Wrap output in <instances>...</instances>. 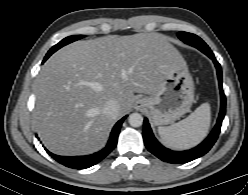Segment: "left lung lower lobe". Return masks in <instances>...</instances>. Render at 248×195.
<instances>
[{"label": "left lung lower lobe", "mask_w": 248, "mask_h": 195, "mask_svg": "<svg viewBox=\"0 0 248 195\" xmlns=\"http://www.w3.org/2000/svg\"><path fill=\"white\" fill-rule=\"evenodd\" d=\"M199 50L213 60L217 69L220 96H221L220 114L214 129L208 135V137L195 148L186 151H173L161 145L154 137L150 125L148 123V120L145 118L143 138L146 148L156 157L168 163H186L206 154L217 140L220 133L222 121L225 116L226 98L222 88V71L220 64L214 57L212 51L205 50L204 48H200Z\"/></svg>", "instance_id": "1"}]
</instances>
